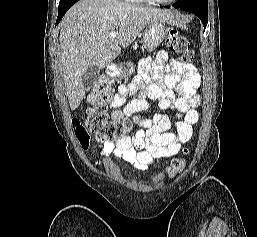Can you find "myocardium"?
I'll list each match as a JSON object with an SVG mask.
<instances>
[{"instance_id": "myocardium-1", "label": "myocardium", "mask_w": 257, "mask_h": 237, "mask_svg": "<svg viewBox=\"0 0 257 237\" xmlns=\"http://www.w3.org/2000/svg\"><path fill=\"white\" fill-rule=\"evenodd\" d=\"M152 3H156V4H162V5H166V4H171L174 3L177 0H148Z\"/></svg>"}]
</instances>
